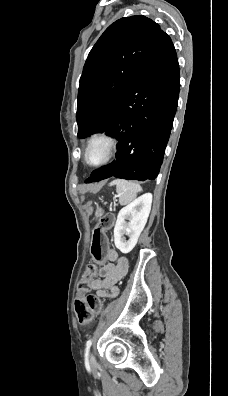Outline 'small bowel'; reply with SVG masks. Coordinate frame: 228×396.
<instances>
[{"instance_id":"small-bowel-1","label":"small bowel","mask_w":228,"mask_h":396,"mask_svg":"<svg viewBox=\"0 0 228 396\" xmlns=\"http://www.w3.org/2000/svg\"><path fill=\"white\" fill-rule=\"evenodd\" d=\"M108 262L102 266L99 277L94 278L90 288L96 292L99 298H113L118 294L117 283L128 272L129 263L125 257L110 250L107 255Z\"/></svg>"}]
</instances>
